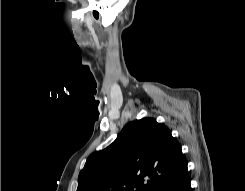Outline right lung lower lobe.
<instances>
[{
    "label": "right lung lower lobe",
    "instance_id": "obj_1",
    "mask_svg": "<svg viewBox=\"0 0 245 191\" xmlns=\"http://www.w3.org/2000/svg\"><path fill=\"white\" fill-rule=\"evenodd\" d=\"M187 167L175 177L161 184L155 191H192Z\"/></svg>",
    "mask_w": 245,
    "mask_h": 191
}]
</instances>
